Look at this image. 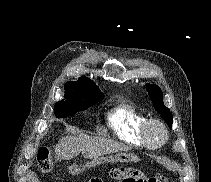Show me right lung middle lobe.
Here are the masks:
<instances>
[{
  "label": "right lung middle lobe",
  "instance_id": "dd1d6c3e",
  "mask_svg": "<svg viewBox=\"0 0 211 182\" xmlns=\"http://www.w3.org/2000/svg\"><path fill=\"white\" fill-rule=\"evenodd\" d=\"M64 89V99L58 101L54 106L55 115L59 118L74 115L78 111L85 110L104 98L103 94H98L73 83L67 82L64 85Z\"/></svg>",
  "mask_w": 211,
  "mask_h": 182
}]
</instances>
